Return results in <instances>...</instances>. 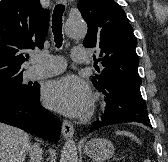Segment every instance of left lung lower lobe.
I'll return each mask as SVG.
<instances>
[{
	"label": "left lung lower lobe",
	"instance_id": "0a47b994",
	"mask_svg": "<svg viewBox=\"0 0 168 162\" xmlns=\"http://www.w3.org/2000/svg\"><path fill=\"white\" fill-rule=\"evenodd\" d=\"M101 91L106 96L107 104L101 118L91 125V132L107 125L125 122H138L151 126L140 88L117 83Z\"/></svg>",
	"mask_w": 168,
	"mask_h": 162
}]
</instances>
